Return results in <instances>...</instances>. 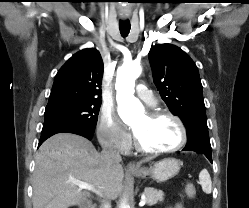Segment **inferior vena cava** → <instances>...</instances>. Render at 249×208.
I'll return each mask as SVG.
<instances>
[{"label": "inferior vena cava", "mask_w": 249, "mask_h": 208, "mask_svg": "<svg viewBox=\"0 0 249 208\" xmlns=\"http://www.w3.org/2000/svg\"><path fill=\"white\" fill-rule=\"evenodd\" d=\"M102 157L109 164L120 163L122 161L121 155L111 143L105 144L102 147ZM102 208H111L109 201H103Z\"/></svg>", "instance_id": "inferior-vena-cava-1"}]
</instances>
